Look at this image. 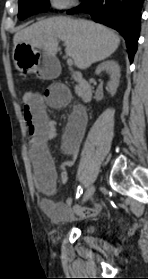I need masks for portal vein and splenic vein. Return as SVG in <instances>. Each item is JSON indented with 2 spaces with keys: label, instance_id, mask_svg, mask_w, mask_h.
I'll return each mask as SVG.
<instances>
[{
  "label": "portal vein and splenic vein",
  "instance_id": "portal-vein-and-splenic-vein-1",
  "mask_svg": "<svg viewBox=\"0 0 148 279\" xmlns=\"http://www.w3.org/2000/svg\"><path fill=\"white\" fill-rule=\"evenodd\" d=\"M67 64H68L69 66H72V65H73V60H72L71 58H68V59H67Z\"/></svg>",
  "mask_w": 148,
  "mask_h": 279
}]
</instances>
